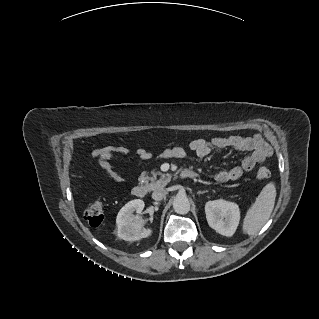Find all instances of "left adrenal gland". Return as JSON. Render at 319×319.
Instances as JSON below:
<instances>
[{
	"label": "left adrenal gland",
	"instance_id": "1",
	"mask_svg": "<svg viewBox=\"0 0 319 319\" xmlns=\"http://www.w3.org/2000/svg\"><path fill=\"white\" fill-rule=\"evenodd\" d=\"M207 191H198V194L200 195V194H204V193H206Z\"/></svg>",
	"mask_w": 319,
	"mask_h": 319
}]
</instances>
